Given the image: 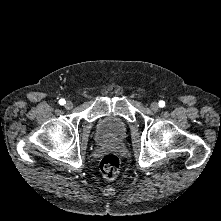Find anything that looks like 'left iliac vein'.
<instances>
[{"instance_id": "4c4485c4", "label": "left iliac vein", "mask_w": 221, "mask_h": 221, "mask_svg": "<svg viewBox=\"0 0 221 221\" xmlns=\"http://www.w3.org/2000/svg\"><path fill=\"white\" fill-rule=\"evenodd\" d=\"M150 108L152 111L156 112L159 109V104L157 102H153V103H151Z\"/></svg>"}]
</instances>
